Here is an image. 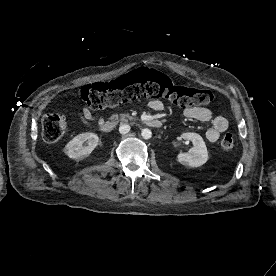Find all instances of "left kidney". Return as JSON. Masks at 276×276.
<instances>
[{"label":"left kidney","instance_id":"1","mask_svg":"<svg viewBox=\"0 0 276 276\" xmlns=\"http://www.w3.org/2000/svg\"><path fill=\"white\" fill-rule=\"evenodd\" d=\"M184 140L191 141L193 147L191 153H179L178 161L189 167H199L205 164L208 160V151L203 138L193 132H186L181 135Z\"/></svg>","mask_w":276,"mask_h":276}]
</instances>
